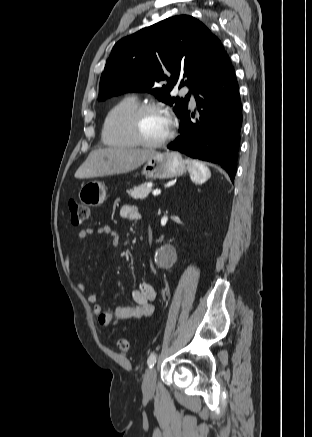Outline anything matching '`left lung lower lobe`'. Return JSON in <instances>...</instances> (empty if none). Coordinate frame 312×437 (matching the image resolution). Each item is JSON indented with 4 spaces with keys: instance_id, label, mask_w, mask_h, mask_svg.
<instances>
[{
    "instance_id": "obj_1",
    "label": "left lung lower lobe",
    "mask_w": 312,
    "mask_h": 437,
    "mask_svg": "<svg viewBox=\"0 0 312 437\" xmlns=\"http://www.w3.org/2000/svg\"><path fill=\"white\" fill-rule=\"evenodd\" d=\"M198 114L187 109L181 119V135L167 148L190 157L216 163L234 179L237 168L242 104L234 68L225 52L213 72L194 94Z\"/></svg>"
}]
</instances>
